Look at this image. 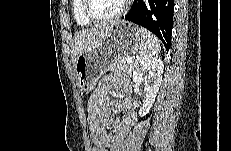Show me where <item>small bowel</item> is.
Returning a JSON list of instances; mask_svg holds the SVG:
<instances>
[{"label": "small bowel", "instance_id": "obj_1", "mask_svg": "<svg viewBox=\"0 0 231 151\" xmlns=\"http://www.w3.org/2000/svg\"><path fill=\"white\" fill-rule=\"evenodd\" d=\"M117 91L126 95L116 104L118 112L123 116L113 121L114 134L111 136L106 131V125L110 122L109 93ZM129 88L123 81L112 78L103 79L88 103V122L93 142V151H120L122 143L135 119V112L128 97Z\"/></svg>", "mask_w": 231, "mask_h": 151}]
</instances>
